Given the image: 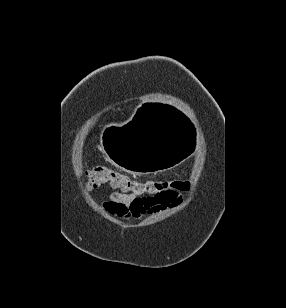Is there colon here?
<instances>
[{"instance_id":"1","label":"colon","mask_w":286,"mask_h":308,"mask_svg":"<svg viewBox=\"0 0 286 308\" xmlns=\"http://www.w3.org/2000/svg\"><path fill=\"white\" fill-rule=\"evenodd\" d=\"M87 188L109 185L113 189L139 197L155 198L165 196L171 190L186 191L189 183L169 180H137L120 171L101 165L87 171Z\"/></svg>"}]
</instances>
